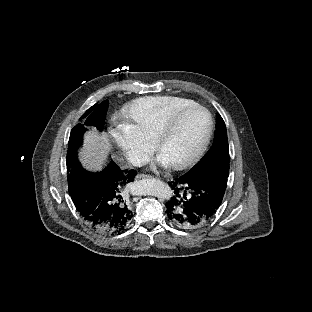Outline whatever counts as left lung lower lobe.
<instances>
[{
    "instance_id": "0a47b994",
    "label": "left lung lower lobe",
    "mask_w": 312,
    "mask_h": 312,
    "mask_svg": "<svg viewBox=\"0 0 312 312\" xmlns=\"http://www.w3.org/2000/svg\"><path fill=\"white\" fill-rule=\"evenodd\" d=\"M229 168L212 167L176 178L175 196L166 203L169 220L180 228H197L216 215L226 187Z\"/></svg>"
}]
</instances>
